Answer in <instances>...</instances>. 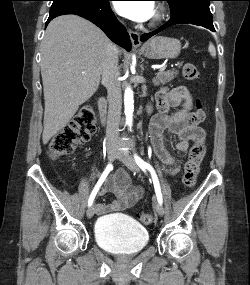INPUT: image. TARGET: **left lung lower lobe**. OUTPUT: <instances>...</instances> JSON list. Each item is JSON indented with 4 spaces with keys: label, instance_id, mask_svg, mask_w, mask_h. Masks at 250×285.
I'll list each match as a JSON object with an SVG mask.
<instances>
[{
    "label": "left lung lower lobe",
    "instance_id": "left-lung-lower-lobe-1",
    "mask_svg": "<svg viewBox=\"0 0 250 285\" xmlns=\"http://www.w3.org/2000/svg\"><path fill=\"white\" fill-rule=\"evenodd\" d=\"M176 24H193V25L205 27V28L210 29L211 31L215 32V28L213 26V20L211 17H206V16H202V15H195V16L186 17L185 19H181V20H170L168 23L163 25L161 28H159V29H157L151 33H147V34L142 35L141 41L144 42L147 39H149L150 37L154 36L155 34H158L159 32H161L165 28L176 25Z\"/></svg>",
    "mask_w": 250,
    "mask_h": 285
}]
</instances>
